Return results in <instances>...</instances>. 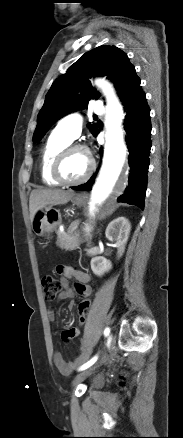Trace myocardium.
Instances as JSON below:
<instances>
[{"label":"myocardium","instance_id":"obj_1","mask_svg":"<svg viewBox=\"0 0 183 438\" xmlns=\"http://www.w3.org/2000/svg\"><path fill=\"white\" fill-rule=\"evenodd\" d=\"M76 150H81L86 153L89 160V167L87 172L82 178L75 181H67L62 177L61 174L62 165L65 159L67 158V156ZM94 170H95V161L88 148L82 144L75 143V144H69L68 146L64 147L56 155L51 167V176L59 185L71 187V186H78L87 182L91 178Z\"/></svg>","mask_w":183,"mask_h":438}]
</instances>
